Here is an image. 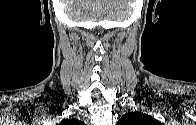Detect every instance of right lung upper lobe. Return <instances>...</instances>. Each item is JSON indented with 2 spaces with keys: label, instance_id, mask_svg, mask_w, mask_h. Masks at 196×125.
<instances>
[{
  "label": "right lung upper lobe",
  "instance_id": "right-lung-upper-lobe-1",
  "mask_svg": "<svg viewBox=\"0 0 196 125\" xmlns=\"http://www.w3.org/2000/svg\"><path fill=\"white\" fill-rule=\"evenodd\" d=\"M72 121H74V119H72V120H71V119H69V120H68V119H67V120H63V121H62V124H64V125H65L66 123H68V122H72Z\"/></svg>",
  "mask_w": 196,
  "mask_h": 125
}]
</instances>
